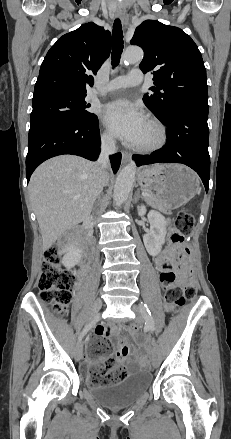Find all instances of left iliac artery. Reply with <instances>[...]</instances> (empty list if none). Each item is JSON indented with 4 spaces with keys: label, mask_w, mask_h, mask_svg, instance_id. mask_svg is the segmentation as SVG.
<instances>
[{
    "label": "left iliac artery",
    "mask_w": 231,
    "mask_h": 439,
    "mask_svg": "<svg viewBox=\"0 0 231 439\" xmlns=\"http://www.w3.org/2000/svg\"><path fill=\"white\" fill-rule=\"evenodd\" d=\"M141 306H143V308L145 309L144 318H145V321H146L145 322L146 327L149 330L154 331V322H153V319H152V316H151V312H150L148 306L146 304L141 305Z\"/></svg>",
    "instance_id": "44dca946"
}]
</instances>
